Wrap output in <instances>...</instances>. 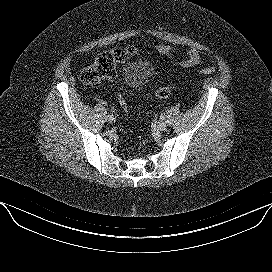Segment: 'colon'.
Here are the masks:
<instances>
[{
	"instance_id": "5ec220e1",
	"label": "colon",
	"mask_w": 272,
	"mask_h": 272,
	"mask_svg": "<svg viewBox=\"0 0 272 272\" xmlns=\"http://www.w3.org/2000/svg\"><path fill=\"white\" fill-rule=\"evenodd\" d=\"M132 53H134L133 47L117 48L100 53L91 65L81 70L80 80L87 85H98L102 80L113 77L116 73L118 64L124 61ZM214 72H216V68L212 66L200 70V73L202 74H212ZM173 89V85H168L154 90L153 94L156 97L164 98L168 97ZM119 102L125 109L126 102L121 95L119 96Z\"/></svg>"
}]
</instances>
